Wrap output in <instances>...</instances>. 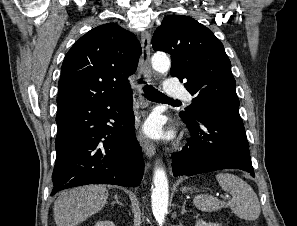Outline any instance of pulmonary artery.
<instances>
[{"label":"pulmonary artery","instance_id":"pulmonary-artery-1","mask_svg":"<svg viewBox=\"0 0 297 226\" xmlns=\"http://www.w3.org/2000/svg\"><path fill=\"white\" fill-rule=\"evenodd\" d=\"M165 95L172 98L191 100L190 93L182 86L178 85L174 78H168L164 86Z\"/></svg>","mask_w":297,"mask_h":226}]
</instances>
